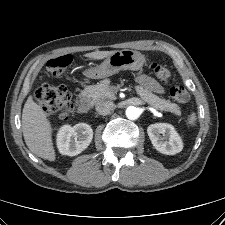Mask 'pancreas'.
<instances>
[{"mask_svg": "<svg viewBox=\"0 0 225 225\" xmlns=\"http://www.w3.org/2000/svg\"><path fill=\"white\" fill-rule=\"evenodd\" d=\"M117 89V87L110 85L109 79H105L102 80L100 83H97L96 85L87 86L84 89V93L91 97L93 100H114L116 99L115 94L117 92ZM135 90L144 102L148 103L154 108L161 111H168L174 113L177 116L181 115L180 107L177 104L172 103L169 100L160 98L159 96L140 86H135Z\"/></svg>", "mask_w": 225, "mask_h": 225, "instance_id": "pancreas-1", "label": "pancreas"}]
</instances>
